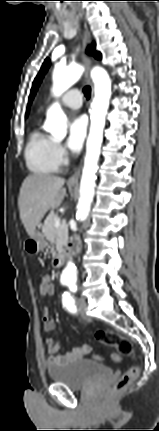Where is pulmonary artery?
<instances>
[{
  "label": "pulmonary artery",
  "mask_w": 159,
  "mask_h": 431,
  "mask_svg": "<svg viewBox=\"0 0 159 431\" xmlns=\"http://www.w3.org/2000/svg\"><path fill=\"white\" fill-rule=\"evenodd\" d=\"M60 102L68 108L79 109L82 106V94L78 89H71L61 97Z\"/></svg>",
  "instance_id": "obj_1"
}]
</instances>
